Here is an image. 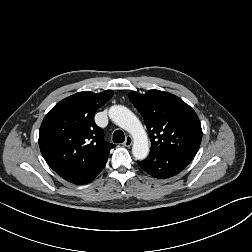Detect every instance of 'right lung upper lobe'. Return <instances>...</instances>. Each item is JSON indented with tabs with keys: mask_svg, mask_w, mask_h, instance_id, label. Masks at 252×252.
I'll return each instance as SVG.
<instances>
[{
	"mask_svg": "<svg viewBox=\"0 0 252 252\" xmlns=\"http://www.w3.org/2000/svg\"><path fill=\"white\" fill-rule=\"evenodd\" d=\"M112 95L111 90L79 92L57 103L45 116L39 130L40 150L61 177L106 163L114 145L104 141L94 115Z\"/></svg>",
	"mask_w": 252,
	"mask_h": 252,
	"instance_id": "1",
	"label": "right lung upper lobe"
}]
</instances>
